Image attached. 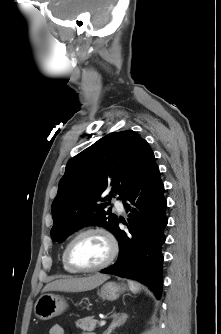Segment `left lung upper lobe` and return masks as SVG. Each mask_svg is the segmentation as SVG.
<instances>
[{
    "label": "left lung upper lobe",
    "instance_id": "obj_1",
    "mask_svg": "<svg viewBox=\"0 0 221 334\" xmlns=\"http://www.w3.org/2000/svg\"><path fill=\"white\" fill-rule=\"evenodd\" d=\"M152 159L147 141L132 130L110 133L71 158L52 203V240L63 242L87 225L113 232L117 216L109 215V203L100 201L110 200L114 193L123 199Z\"/></svg>",
    "mask_w": 221,
    "mask_h": 334
}]
</instances>
